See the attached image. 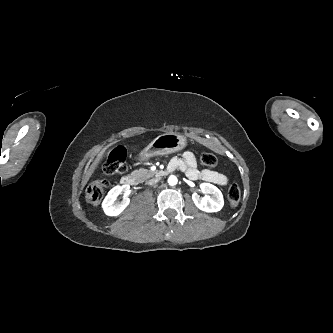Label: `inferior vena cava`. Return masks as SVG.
<instances>
[{"label":"inferior vena cava","mask_w":333,"mask_h":333,"mask_svg":"<svg viewBox=\"0 0 333 333\" xmlns=\"http://www.w3.org/2000/svg\"><path fill=\"white\" fill-rule=\"evenodd\" d=\"M158 181H159V179L156 178V179H151V180H149L147 183H148L149 185H154V184L157 183Z\"/></svg>","instance_id":"1"}]
</instances>
